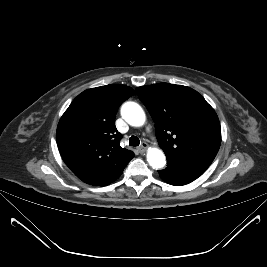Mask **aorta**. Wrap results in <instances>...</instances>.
<instances>
[{
	"label": "aorta",
	"mask_w": 267,
	"mask_h": 267,
	"mask_svg": "<svg viewBox=\"0 0 267 267\" xmlns=\"http://www.w3.org/2000/svg\"><path fill=\"white\" fill-rule=\"evenodd\" d=\"M122 118L131 126L140 127L145 123L146 115L142 107L136 102H125L121 107ZM147 161L153 169H161L166 165V158L162 150L149 148Z\"/></svg>",
	"instance_id": "1"
}]
</instances>
